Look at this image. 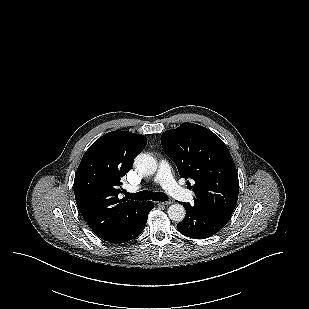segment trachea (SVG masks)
Listing matches in <instances>:
<instances>
[{"mask_svg": "<svg viewBox=\"0 0 309 309\" xmlns=\"http://www.w3.org/2000/svg\"><path fill=\"white\" fill-rule=\"evenodd\" d=\"M125 196L127 199H132V200H138V201H143V200H154V201H167L168 196L163 193V192H151V191H140L135 194H131L126 192Z\"/></svg>", "mask_w": 309, "mask_h": 309, "instance_id": "obj_1", "label": "trachea"}]
</instances>
